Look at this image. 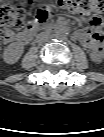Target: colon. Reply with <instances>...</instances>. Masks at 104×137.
<instances>
[{
	"label": "colon",
	"mask_w": 104,
	"mask_h": 137,
	"mask_svg": "<svg viewBox=\"0 0 104 137\" xmlns=\"http://www.w3.org/2000/svg\"><path fill=\"white\" fill-rule=\"evenodd\" d=\"M56 7L67 13H94L91 24L93 27L92 37L101 42L103 32L101 30L102 19L98 15L104 11V0H54ZM52 14V8L49 6L41 7L37 12V19L40 22L46 21ZM26 9L22 2L15 0L12 4L2 6L0 10V22L4 35L13 31H20L26 25ZM96 51H101L100 46H95Z\"/></svg>",
	"instance_id": "1"
}]
</instances>
